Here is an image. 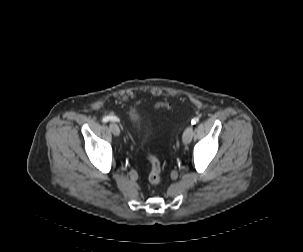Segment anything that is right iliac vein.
Wrapping results in <instances>:
<instances>
[{
  "label": "right iliac vein",
  "instance_id": "obj_1",
  "mask_svg": "<svg viewBox=\"0 0 303 252\" xmlns=\"http://www.w3.org/2000/svg\"><path fill=\"white\" fill-rule=\"evenodd\" d=\"M109 128L115 136L120 135V129H119V126L116 123H114V122L110 123Z\"/></svg>",
  "mask_w": 303,
  "mask_h": 252
}]
</instances>
